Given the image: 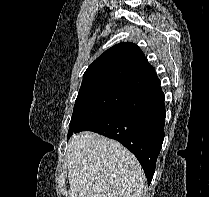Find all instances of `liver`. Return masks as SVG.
I'll return each mask as SVG.
<instances>
[{
    "label": "liver",
    "mask_w": 209,
    "mask_h": 197,
    "mask_svg": "<svg viewBox=\"0 0 209 197\" xmlns=\"http://www.w3.org/2000/svg\"><path fill=\"white\" fill-rule=\"evenodd\" d=\"M71 197H142L145 174L136 157L116 140L94 132L68 143Z\"/></svg>",
    "instance_id": "6515ba94"
}]
</instances>
